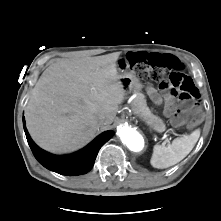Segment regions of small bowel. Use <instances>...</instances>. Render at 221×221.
<instances>
[{"label": "small bowel", "instance_id": "1", "mask_svg": "<svg viewBox=\"0 0 221 221\" xmlns=\"http://www.w3.org/2000/svg\"><path fill=\"white\" fill-rule=\"evenodd\" d=\"M136 54H141L142 58L141 61L146 62L147 56L150 54L149 52H131ZM127 58V57H126ZM153 97L155 100L158 101V97L155 93H153ZM164 104H165V113L168 116L173 115L176 113L182 106L181 101L177 100L173 95L167 94L164 98Z\"/></svg>", "mask_w": 221, "mask_h": 221}]
</instances>
